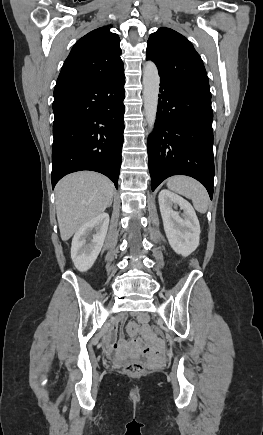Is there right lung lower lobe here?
<instances>
[{"mask_svg":"<svg viewBox=\"0 0 263 435\" xmlns=\"http://www.w3.org/2000/svg\"><path fill=\"white\" fill-rule=\"evenodd\" d=\"M124 70L54 93L52 187L65 175L91 170L118 187L124 132Z\"/></svg>","mask_w":263,"mask_h":435,"instance_id":"1","label":"right lung lower lobe"}]
</instances>
